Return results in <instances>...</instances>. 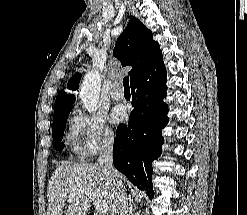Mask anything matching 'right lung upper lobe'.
Returning <instances> with one entry per match:
<instances>
[{
    "instance_id": "1",
    "label": "right lung upper lobe",
    "mask_w": 247,
    "mask_h": 215,
    "mask_svg": "<svg viewBox=\"0 0 247 215\" xmlns=\"http://www.w3.org/2000/svg\"><path fill=\"white\" fill-rule=\"evenodd\" d=\"M113 55L121 61L123 66H132L128 73L132 81L138 74L151 66L161 55L158 42L153 40L152 32L142 22L132 17L118 37ZM80 81V74L76 73L68 82L70 90H77ZM75 96L66 94L61 90L55 101L54 115L66 109H71Z\"/></svg>"
}]
</instances>
